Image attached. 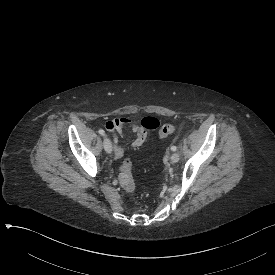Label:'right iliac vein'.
Here are the masks:
<instances>
[{
    "instance_id": "63e3f726",
    "label": "right iliac vein",
    "mask_w": 275,
    "mask_h": 275,
    "mask_svg": "<svg viewBox=\"0 0 275 275\" xmlns=\"http://www.w3.org/2000/svg\"><path fill=\"white\" fill-rule=\"evenodd\" d=\"M103 146H104V149L107 153H111L112 152V143H111V140L109 138H104V141H103Z\"/></svg>"
}]
</instances>
